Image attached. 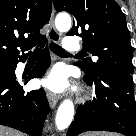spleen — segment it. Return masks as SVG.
Returning a JSON list of instances; mask_svg holds the SVG:
<instances>
[{"label":"spleen","instance_id":"obj_1","mask_svg":"<svg viewBox=\"0 0 136 136\" xmlns=\"http://www.w3.org/2000/svg\"><path fill=\"white\" fill-rule=\"evenodd\" d=\"M84 136H119L116 134H103V133H89Z\"/></svg>","mask_w":136,"mask_h":136}]
</instances>
